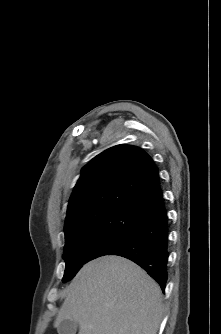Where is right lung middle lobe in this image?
Listing matches in <instances>:
<instances>
[{
  "label": "right lung middle lobe",
  "instance_id": "dd1d6c3e",
  "mask_svg": "<svg viewBox=\"0 0 221 334\" xmlns=\"http://www.w3.org/2000/svg\"><path fill=\"white\" fill-rule=\"evenodd\" d=\"M140 215L108 212L82 220L65 234L63 282L73 278L88 261L106 255L134 227Z\"/></svg>",
  "mask_w": 221,
  "mask_h": 334
}]
</instances>
